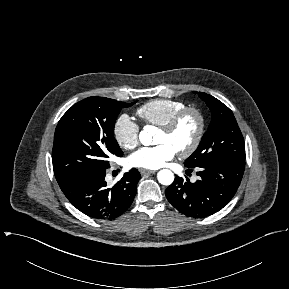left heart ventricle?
Segmentation results:
<instances>
[{"label":"left heart ventricle","instance_id":"b2bd125f","mask_svg":"<svg viewBox=\"0 0 289 289\" xmlns=\"http://www.w3.org/2000/svg\"><path fill=\"white\" fill-rule=\"evenodd\" d=\"M197 127V118L194 115H188L182 120L174 132L168 134L160 130L156 137V144L167 143L178 152L192 142Z\"/></svg>","mask_w":289,"mask_h":289}]
</instances>
